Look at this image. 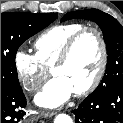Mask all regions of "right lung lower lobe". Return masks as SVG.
<instances>
[{"label": "right lung lower lobe", "mask_w": 123, "mask_h": 123, "mask_svg": "<svg viewBox=\"0 0 123 123\" xmlns=\"http://www.w3.org/2000/svg\"><path fill=\"white\" fill-rule=\"evenodd\" d=\"M26 98L21 88H1V123H21L25 112Z\"/></svg>", "instance_id": "right-lung-lower-lobe-1"}]
</instances>
